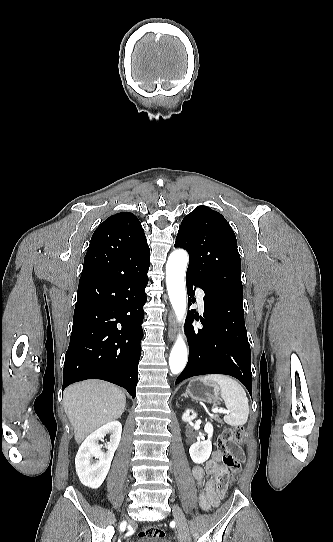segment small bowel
Wrapping results in <instances>:
<instances>
[{
	"label": "small bowel",
	"mask_w": 333,
	"mask_h": 542,
	"mask_svg": "<svg viewBox=\"0 0 333 542\" xmlns=\"http://www.w3.org/2000/svg\"><path fill=\"white\" fill-rule=\"evenodd\" d=\"M193 476L200 489L199 504L204 511L217 507L224 496L220 491L223 479L229 478V471L224 463V454L215 451L203 467L195 466Z\"/></svg>",
	"instance_id": "c3829d8e"
}]
</instances>
